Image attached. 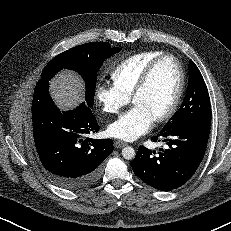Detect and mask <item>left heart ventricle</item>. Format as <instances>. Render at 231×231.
I'll return each mask as SVG.
<instances>
[{"mask_svg":"<svg viewBox=\"0 0 231 231\" xmlns=\"http://www.w3.org/2000/svg\"><path fill=\"white\" fill-rule=\"evenodd\" d=\"M179 82L178 67L174 60L164 59L154 68L145 89L134 99L133 105L148 110L154 118L170 106Z\"/></svg>","mask_w":231,"mask_h":231,"instance_id":"left-heart-ventricle-1","label":"left heart ventricle"}]
</instances>
